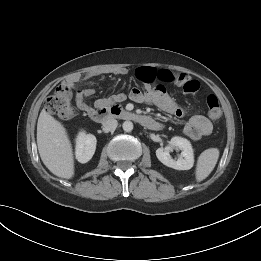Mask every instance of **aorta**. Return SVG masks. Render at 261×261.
Instances as JSON below:
<instances>
[{
	"label": "aorta",
	"mask_w": 261,
	"mask_h": 261,
	"mask_svg": "<svg viewBox=\"0 0 261 261\" xmlns=\"http://www.w3.org/2000/svg\"><path fill=\"white\" fill-rule=\"evenodd\" d=\"M122 127L125 132H131L133 130V123L131 121H125Z\"/></svg>",
	"instance_id": "1"
}]
</instances>
